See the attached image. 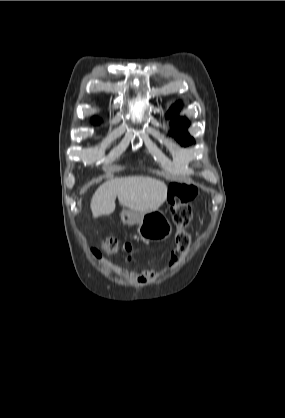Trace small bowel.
<instances>
[{
  "label": "small bowel",
  "instance_id": "obj_1",
  "mask_svg": "<svg viewBox=\"0 0 285 418\" xmlns=\"http://www.w3.org/2000/svg\"><path fill=\"white\" fill-rule=\"evenodd\" d=\"M109 269L117 272L120 275H123L124 272L121 268L117 267L114 264H107L106 265ZM131 277L136 280L138 283L144 284L146 282L149 281H153L156 279V274L153 272H149V271H143V272H138V273H132Z\"/></svg>",
  "mask_w": 285,
  "mask_h": 418
}]
</instances>
